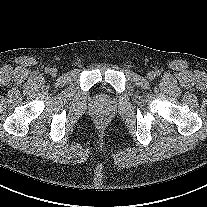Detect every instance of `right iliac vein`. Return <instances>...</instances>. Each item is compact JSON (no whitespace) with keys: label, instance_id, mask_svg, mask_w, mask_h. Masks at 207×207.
Masks as SVG:
<instances>
[{"label":"right iliac vein","instance_id":"obj_1","mask_svg":"<svg viewBox=\"0 0 207 207\" xmlns=\"http://www.w3.org/2000/svg\"><path fill=\"white\" fill-rule=\"evenodd\" d=\"M50 74H51L52 76H56V75H57V70H56V69H51V70H50Z\"/></svg>","mask_w":207,"mask_h":207}]
</instances>
